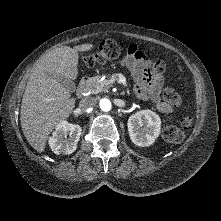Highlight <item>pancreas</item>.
Returning a JSON list of instances; mask_svg holds the SVG:
<instances>
[{"instance_id": "obj_1", "label": "pancreas", "mask_w": 221, "mask_h": 221, "mask_svg": "<svg viewBox=\"0 0 221 221\" xmlns=\"http://www.w3.org/2000/svg\"><path fill=\"white\" fill-rule=\"evenodd\" d=\"M100 79H101V76H98L92 79V82L89 86L91 93L97 94L100 92L107 91L109 87L113 85V83L117 79V76L115 74H112V75H108L107 77H104L102 81H99Z\"/></svg>"}]
</instances>
